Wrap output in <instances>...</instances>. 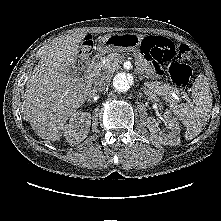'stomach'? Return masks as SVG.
I'll list each match as a JSON object with an SVG mask.
<instances>
[{
  "mask_svg": "<svg viewBox=\"0 0 221 221\" xmlns=\"http://www.w3.org/2000/svg\"><path fill=\"white\" fill-rule=\"evenodd\" d=\"M145 37L137 33H113L101 37L99 49L102 52H138Z\"/></svg>",
  "mask_w": 221,
  "mask_h": 221,
  "instance_id": "stomach-1",
  "label": "stomach"
}]
</instances>
